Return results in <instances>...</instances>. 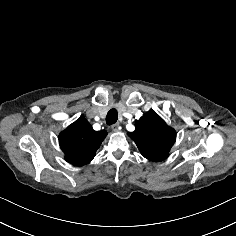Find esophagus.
I'll use <instances>...</instances> for the list:
<instances>
[{
	"mask_svg": "<svg viewBox=\"0 0 236 236\" xmlns=\"http://www.w3.org/2000/svg\"><path fill=\"white\" fill-rule=\"evenodd\" d=\"M118 127H119V123H116V124H113V125L111 126V129H112L114 132H118V131H119Z\"/></svg>",
	"mask_w": 236,
	"mask_h": 236,
	"instance_id": "34e87169",
	"label": "esophagus"
}]
</instances>
